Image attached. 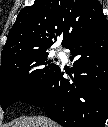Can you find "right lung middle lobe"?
<instances>
[{"instance_id": "obj_1", "label": "right lung middle lobe", "mask_w": 108, "mask_h": 127, "mask_svg": "<svg viewBox=\"0 0 108 127\" xmlns=\"http://www.w3.org/2000/svg\"><path fill=\"white\" fill-rule=\"evenodd\" d=\"M48 53L18 57L1 65L0 103L3 110L40 89L59 68Z\"/></svg>"}]
</instances>
